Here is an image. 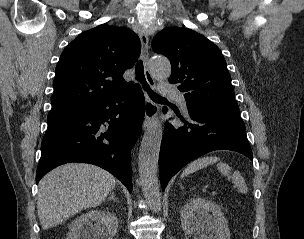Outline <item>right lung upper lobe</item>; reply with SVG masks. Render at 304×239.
Instances as JSON below:
<instances>
[{"mask_svg": "<svg viewBox=\"0 0 304 239\" xmlns=\"http://www.w3.org/2000/svg\"><path fill=\"white\" fill-rule=\"evenodd\" d=\"M140 48L138 36L127 28L102 24L80 34L56 66L48 120L79 113L130 88L123 73L134 65Z\"/></svg>", "mask_w": 304, "mask_h": 239, "instance_id": "1", "label": "right lung upper lobe"}]
</instances>
